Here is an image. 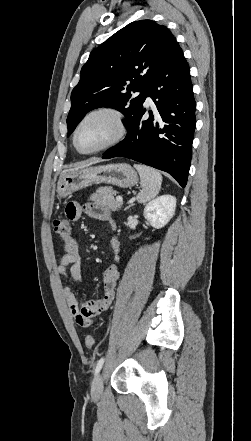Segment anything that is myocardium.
<instances>
[{"label": "myocardium", "mask_w": 251, "mask_h": 441, "mask_svg": "<svg viewBox=\"0 0 251 441\" xmlns=\"http://www.w3.org/2000/svg\"><path fill=\"white\" fill-rule=\"evenodd\" d=\"M99 114L108 115L113 119V121L116 125V133L114 134V136L110 140H108L107 142H105L101 146H99L95 149H92V150H88V151L82 150L78 145L79 130L82 127V125L90 117L95 116V115H99ZM126 134H127V126H126V122H125V118H124L123 113L121 111H119L118 109H115L112 107L101 106V107H97V108H94V109L88 111L80 119V121L78 122V124L74 130V133H73V144H74V147L76 148V150L81 154H85V155L96 154V153L102 152L104 150H107V149L117 145L125 138Z\"/></svg>", "instance_id": "myocardium-1"}]
</instances>
